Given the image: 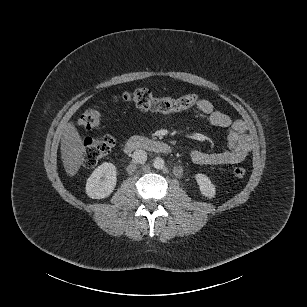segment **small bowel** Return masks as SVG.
<instances>
[{
	"instance_id": "small-bowel-1",
	"label": "small bowel",
	"mask_w": 307,
	"mask_h": 307,
	"mask_svg": "<svg viewBox=\"0 0 307 307\" xmlns=\"http://www.w3.org/2000/svg\"><path fill=\"white\" fill-rule=\"evenodd\" d=\"M196 115L216 127L228 130V148L217 152L193 149L191 160L199 165H226L240 163L252 149V141L246 125L241 120H234L229 115L215 109L207 99H200L196 104Z\"/></svg>"
}]
</instances>
